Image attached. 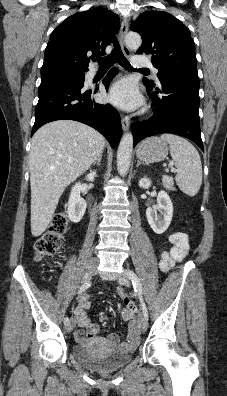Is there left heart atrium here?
I'll return each mask as SVG.
<instances>
[{
  "label": "left heart atrium",
  "mask_w": 227,
  "mask_h": 396,
  "mask_svg": "<svg viewBox=\"0 0 227 396\" xmlns=\"http://www.w3.org/2000/svg\"><path fill=\"white\" fill-rule=\"evenodd\" d=\"M112 104L126 110L136 108L141 103V97L135 84L129 79L116 82L107 95Z\"/></svg>",
  "instance_id": "39dd6f15"
}]
</instances>
